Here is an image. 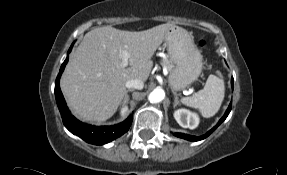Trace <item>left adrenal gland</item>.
I'll return each mask as SVG.
<instances>
[{"label": "left adrenal gland", "instance_id": "1", "mask_svg": "<svg viewBox=\"0 0 287 175\" xmlns=\"http://www.w3.org/2000/svg\"><path fill=\"white\" fill-rule=\"evenodd\" d=\"M174 93V103H173V106L176 107L178 104H179V99H178V95L176 92H173Z\"/></svg>", "mask_w": 287, "mask_h": 175}]
</instances>
